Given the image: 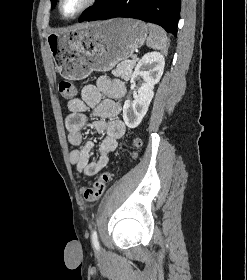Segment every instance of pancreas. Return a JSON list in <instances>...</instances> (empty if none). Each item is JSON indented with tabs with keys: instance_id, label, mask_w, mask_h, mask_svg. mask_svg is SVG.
I'll use <instances>...</instances> for the list:
<instances>
[{
	"instance_id": "cf45deb5",
	"label": "pancreas",
	"mask_w": 247,
	"mask_h": 280,
	"mask_svg": "<svg viewBox=\"0 0 247 280\" xmlns=\"http://www.w3.org/2000/svg\"><path fill=\"white\" fill-rule=\"evenodd\" d=\"M137 59L130 61H123L117 65V67L112 71V74L117 77H121L125 81H128L132 75V71L135 67Z\"/></svg>"
}]
</instances>
